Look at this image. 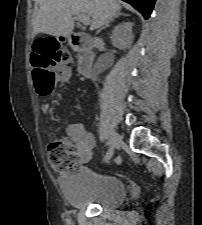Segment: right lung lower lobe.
I'll list each match as a JSON object with an SVG mask.
<instances>
[{"label": "right lung lower lobe", "mask_w": 202, "mask_h": 225, "mask_svg": "<svg viewBox=\"0 0 202 225\" xmlns=\"http://www.w3.org/2000/svg\"><path fill=\"white\" fill-rule=\"evenodd\" d=\"M131 4L135 9L142 13L145 19H147L152 10L156 0H123Z\"/></svg>", "instance_id": "1"}]
</instances>
